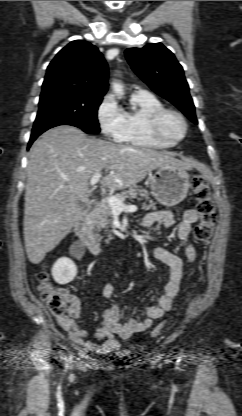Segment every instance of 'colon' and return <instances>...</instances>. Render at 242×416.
<instances>
[{
    "mask_svg": "<svg viewBox=\"0 0 242 416\" xmlns=\"http://www.w3.org/2000/svg\"><path fill=\"white\" fill-rule=\"evenodd\" d=\"M192 188L197 203V212L199 221L194 228V239L196 242L203 244L211 237L217 223V212L209 188L208 179L205 176L197 175L192 178ZM38 289L42 299L48 305L51 313L57 317L63 316L69 297L65 290L54 287L46 270L38 274ZM163 329V325L155 327L151 336L156 337Z\"/></svg>",
    "mask_w": 242,
    "mask_h": 416,
    "instance_id": "colon-1",
    "label": "colon"
}]
</instances>
